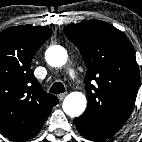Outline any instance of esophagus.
Returning a JSON list of instances; mask_svg holds the SVG:
<instances>
[{
  "mask_svg": "<svg viewBox=\"0 0 142 142\" xmlns=\"http://www.w3.org/2000/svg\"><path fill=\"white\" fill-rule=\"evenodd\" d=\"M65 96H66V93H61L58 95V99L62 101L65 98Z\"/></svg>",
  "mask_w": 142,
  "mask_h": 142,
  "instance_id": "obj_1",
  "label": "esophagus"
}]
</instances>
